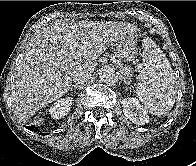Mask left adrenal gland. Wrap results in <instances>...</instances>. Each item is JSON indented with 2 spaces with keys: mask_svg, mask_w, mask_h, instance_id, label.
Returning <instances> with one entry per match:
<instances>
[{
  "mask_svg": "<svg viewBox=\"0 0 196 166\" xmlns=\"http://www.w3.org/2000/svg\"><path fill=\"white\" fill-rule=\"evenodd\" d=\"M120 79L123 80L125 84L129 85L128 80H126V78L123 77L122 75L120 76Z\"/></svg>",
  "mask_w": 196,
  "mask_h": 166,
  "instance_id": "1",
  "label": "left adrenal gland"
}]
</instances>
